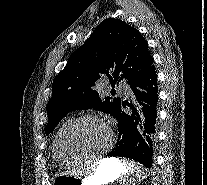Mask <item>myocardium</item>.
<instances>
[{
  "label": "myocardium",
  "instance_id": "f54148a6",
  "mask_svg": "<svg viewBox=\"0 0 207 185\" xmlns=\"http://www.w3.org/2000/svg\"><path fill=\"white\" fill-rule=\"evenodd\" d=\"M87 120H99V121L104 122L109 127L110 134H111V141H113L116 138V130H115L114 126L109 121H107L104 118L97 116V115L87 114V115H83V116H80V117L72 120L71 123L68 125V127L64 133V137H63L64 147H65L66 151L72 157H75V158L88 159V158L103 157L106 153V150H102L100 152H86V151H82V150L75 148L72 144V135H73L75 128L80 123L87 121Z\"/></svg>",
  "mask_w": 207,
  "mask_h": 185
}]
</instances>
